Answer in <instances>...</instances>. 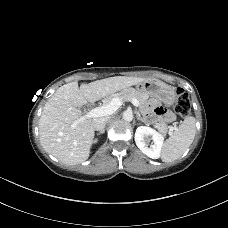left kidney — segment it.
<instances>
[{"label":"left kidney","instance_id":"left-kidney-1","mask_svg":"<svg viewBox=\"0 0 228 228\" xmlns=\"http://www.w3.org/2000/svg\"><path fill=\"white\" fill-rule=\"evenodd\" d=\"M153 144L148 145L150 138ZM164 136L156 130L147 126H140L135 132V142L137 147L148 157L158 159L161 156Z\"/></svg>","mask_w":228,"mask_h":228}]
</instances>
